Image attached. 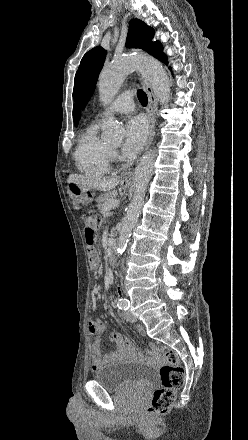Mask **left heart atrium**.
I'll return each instance as SVG.
<instances>
[{"label": "left heart atrium", "instance_id": "left-heart-atrium-1", "mask_svg": "<svg viewBox=\"0 0 248 440\" xmlns=\"http://www.w3.org/2000/svg\"><path fill=\"white\" fill-rule=\"evenodd\" d=\"M147 138V126L142 117H131L125 124V138L122 144L124 158H132L143 147Z\"/></svg>", "mask_w": 248, "mask_h": 440}]
</instances>
